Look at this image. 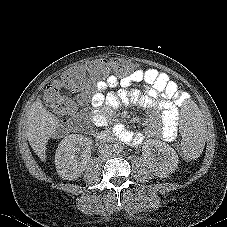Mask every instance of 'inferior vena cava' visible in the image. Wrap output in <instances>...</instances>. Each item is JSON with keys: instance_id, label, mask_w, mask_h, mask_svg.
<instances>
[{"instance_id": "602c4592", "label": "inferior vena cava", "mask_w": 227, "mask_h": 227, "mask_svg": "<svg viewBox=\"0 0 227 227\" xmlns=\"http://www.w3.org/2000/svg\"><path fill=\"white\" fill-rule=\"evenodd\" d=\"M112 148L109 144H101L98 148V155L100 158H108L112 155Z\"/></svg>"}]
</instances>
